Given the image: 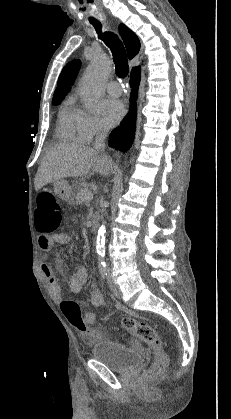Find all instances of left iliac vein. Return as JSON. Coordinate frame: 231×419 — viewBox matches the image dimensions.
<instances>
[{"label":"left iliac vein","mask_w":231,"mask_h":419,"mask_svg":"<svg viewBox=\"0 0 231 419\" xmlns=\"http://www.w3.org/2000/svg\"><path fill=\"white\" fill-rule=\"evenodd\" d=\"M107 280H108L109 287H110L111 291L113 292V294H114L117 298H119V299H120V298H121V292H120V290L117 288L116 284L114 283V279H113V277H112L111 272H110V270H109V269L107 270Z\"/></svg>","instance_id":"4c4485c4"}]
</instances>
